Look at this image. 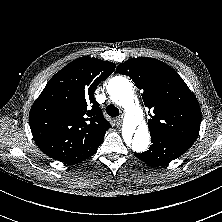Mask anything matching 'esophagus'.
Instances as JSON below:
<instances>
[{
	"instance_id": "obj_1",
	"label": "esophagus",
	"mask_w": 222,
	"mask_h": 222,
	"mask_svg": "<svg viewBox=\"0 0 222 222\" xmlns=\"http://www.w3.org/2000/svg\"><path fill=\"white\" fill-rule=\"evenodd\" d=\"M122 119H123L122 116H119V117L116 118L115 121H116L117 126L121 125V123H122Z\"/></svg>"
}]
</instances>
